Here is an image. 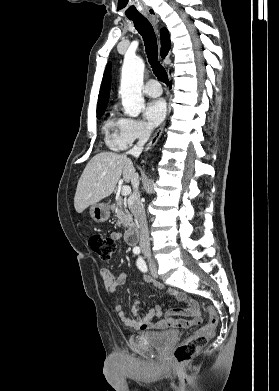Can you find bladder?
Returning a JSON list of instances; mask_svg holds the SVG:
<instances>
[{
  "mask_svg": "<svg viewBox=\"0 0 279 391\" xmlns=\"http://www.w3.org/2000/svg\"><path fill=\"white\" fill-rule=\"evenodd\" d=\"M139 335L151 346L158 349H165L178 339L180 333L176 330H164L145 331L140 332Z\"/></svg>",
  "mask_w": 279,
  "mask_h": 391,
  "instance_id": "obj_1",
  "label": "bladder"
}]
</instances>
